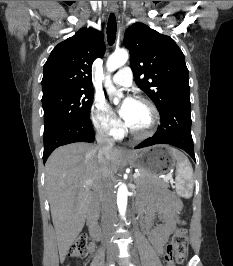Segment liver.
<instances>
[{
    "label": "liver",
    "mask_w": 233,
    "mask_h": 266,
    "mask_svg": "<svg viewBox=\"0 0 233 266\" xmlns=\"http://www.w3.org/2000/svg\"><path fill=\"white\" fill-rule=\"evenodd\" d=\"M98 147L78 142L57 148L45 165V180L56 232L60 261L82 231L92 190L100 187L105 176L114 179L121 160L118 149L112 148L104 161L98 159ZM91 185H85L86 181Z\"/></svg>",
    "instance_id": "obj_1"
}]
</instances>
